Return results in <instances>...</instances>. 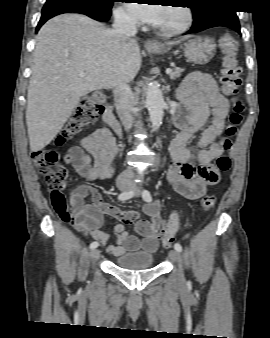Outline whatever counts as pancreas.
Returning a JSON list of instances; mask_svg holds the SVG:
<instances>
[{
    "instance_id": "pancreas-1",
    "label": "pancreas",
    "mask_w": 270,
    "mask_h": 338,
    "mask_svg": "<svg viewBox=\"0 0 270 338\" xmlns=\"http://www.w3.org/2000/svg\"><path fill=\"white\" fill-rule=\"evenodd\" d=\"M184 71L183 68L175 67L174 70L169 74L171 79H176L181 76L182 72Z\"/></svg>"
}]
</instances>
